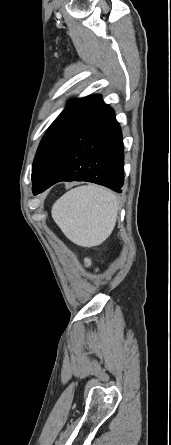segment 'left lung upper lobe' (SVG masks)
I'll return each mask as SVG.
<instances>
[{"instance_id":"obj_1","label":"left lung upper lobe","mask_w":171,"mask_h":445,"mask_svg":"<svg viewBox=\"0 0 171 445\" xmlns=\"http://www.w3.org/2000/svg\"><path fill=\"white\" fill-rule=\"evenodd\" d=\"M102 101L100 95L72 100L49 127L41 140L32 166V179L66 132Z\"/></svg>"}]
</instances>
